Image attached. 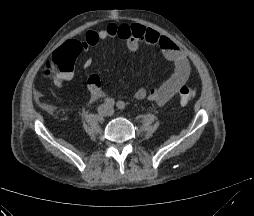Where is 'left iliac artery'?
Segmentation results:
<instances>
[{"mask_svg":"<svg viewBox=\"0 0 254 216\" xmlns=\"http://www.w3.org/2000/svg\"><path fill=\"white\" fill-rule=\"evenodd\" d=\"M116 106L119 110L125 109V103L123 101H118Z\"/></svg>","mask_w":254,"mask_h":216,"instance_id":"1","label":"left iliac artery"}]
</instances>
